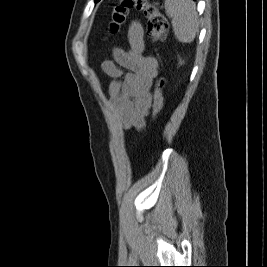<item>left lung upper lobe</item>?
<instances>
[{
  "instance_id": "1",
  "label": "left lung upper lobe",
  "mask_w": 267,
  "mask_h": 267,
  "mask_svg": "<svg viewBox=\"0 0 267 267\" xmlns=\"http://www.w3.org/2000/svg\"><path fill=\"white\" fill-rule=\"evenodd\" d=\"M98 1H100V0H95V3H97Z\"/></svg>"
}]
</instances>
